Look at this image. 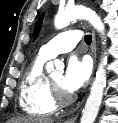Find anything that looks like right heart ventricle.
I'll return each mask as SVG.
<instances>
[{
  "mask_svg": "<svg viewBox=\"0 0 118 123\" xmlns=\"http://www.w3.org/2000/svg\"><path fill=\"white\" fill-rule=\"evenodd\" d=\"M47 58L38 55L25 71L19 91V104L23 111L34 116H48L56 111L48 77L44 72Z\"/></svg>",
  "mask_w": 118,
  "mask_h": 123,
  "instance_id": "obj_1",
  "label": "right heart ventricle"
}]
</instances>
